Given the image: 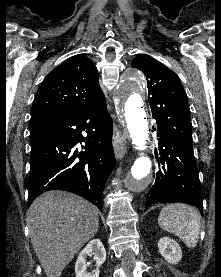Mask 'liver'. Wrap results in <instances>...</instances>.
<instances>
[{"instance_id": "6515ba94", "label": "liver", "mask_w": 221, "mask_h": 277, "mask_svg": "<svg viewBox=\"0 0 221 277\" xmlns=\"http://www.w3.org/2000/svg\"><path fill=\"white\" fill-rule=\"evenodd\" d=\"M31 243L47 277H60L81 247L94 237L98 210L87 200L68 192L49 191L27 212Z\"/></svg>"}]
</instances>
